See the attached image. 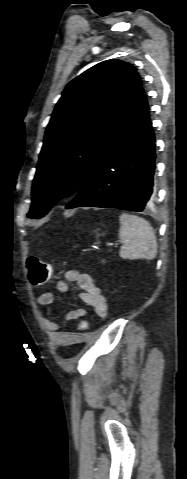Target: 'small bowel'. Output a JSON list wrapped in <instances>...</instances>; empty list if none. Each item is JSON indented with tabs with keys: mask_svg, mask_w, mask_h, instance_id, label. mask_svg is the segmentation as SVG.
Wrapping results in <instances>:
<instances>
[{
	"mask_svg": "<svg viewBox=\"0 0 187 479\" xmlns=\"http://www.w3.org/2000/svg\"><path fill=\"white\" fill-rule=\"evenodd\" d=\"M68 282H73L77 285L79 292V299L86 305L92 307L100 318H106L108 313V303L100 289L94 284L90 275L81 273L75 269H69L65 272V280L56 283V289L59 292H68L70 287ZM55 301V295L52 292H43L38 298L37 302L40 305H50ZM86 315L84 308L78 307L69 311L65 317V323L74 322ZM41 322L44 327L51 333L54 340H61L65 332L61 331V326L51 319L41 316Z\"/></svg>",
	"mask_w": 187,
	"mask_h": 479,
	"instance_id": "1",
	"label": "small bowel"
}]
</instances>
